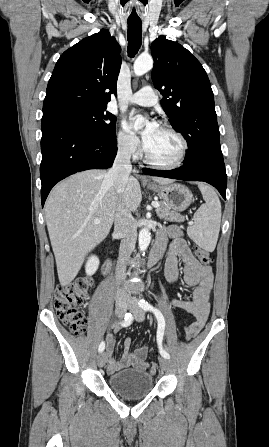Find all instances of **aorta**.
Wrapping results in <instances>:
<instances>
[{"mask_svg":"<svg viewBox=\"0 0 269 447\" xmlns=\"http://www.w3.org/2000/svg\"><path fill=\"white\" fill-rule=\"evenodd\" d=\"M152 68H153L152 56H138L133 66L135 76H144V74H146V72H149V70H152ZM144 122H148V120H146V118H143V116H136V120L134 122V128H137V130H141V128H143ZM150 241H151V233L149 229H147V227H143V229H140L139 231L140 251H145Z\"/></svg>","mask_w":269,"mask_h":447,"instance_id":"obj_1","label":"aorta"}]
</instances>
